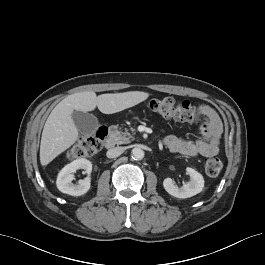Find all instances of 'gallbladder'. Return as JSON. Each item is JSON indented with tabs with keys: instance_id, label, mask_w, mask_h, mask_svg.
Returning <instances> with one entry per match:
<instances>
[{
	"instance_id": "obj_1",
	"label": "gallbladder",
	"mask_w": 265,
	"mask_h": 265,
	"mask_svg": "<svg viewBox=\"0 0 265 265\" xmlns=\"http://www.w3.org/2000/svg\"><path fill=\"white\" fill-rule=\"evenodd\" d=\"M72 119L77 130L83 135H93L99 126L97 117L90 113L75 110Z\"/></svg>"
}]
</instances>
